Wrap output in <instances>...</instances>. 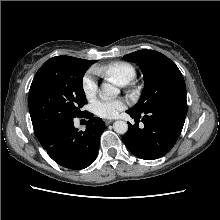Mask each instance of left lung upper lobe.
Segmentation results:
<instances>
[{
  "label": "left lung upper lobe",
  "instance_id": "obj_1",
  "mask_svg": "<svg viewBox=\"0 0 220 220\" xmlns=\"http://www.w3.org/2000/svg\"><path fill=\"white\" fill-rule=\"evenodd\" d=\"M140 65L144 76V89L133 114H144L163 102L186 99L184 78L168 57L154 50H138L123 57Z\"/></svg>",
  "mask_w": 220,
  "mask_h": 220
}]
</instances>
